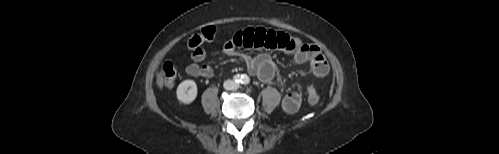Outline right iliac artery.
Instances as JSON below:
<instances>
[{
  "label": "right iliac artery",
  "mask_w": 499,
  "mask_h": 154,
  "mask_svg": "<svg viewBox=\"0 0 499 154\" xmlns=\"http://www.w3.org/2000/svg\"><path fill=\"white\" fill-rule=\"evenodd\" d=\"M243 75L237 74L233 77L234 81L236 83H241L242 82Z\"/></svg>",
  "instance_id": "obj_1"
}]
</instances>
